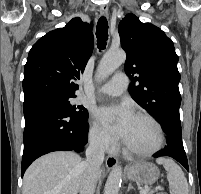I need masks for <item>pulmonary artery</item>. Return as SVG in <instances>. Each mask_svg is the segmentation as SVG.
I'll use <instances>...</instances> for the list:
<instances>
[{
  "instance_id": "pulmonary-artery-1",
  "label": "pulmonary artery",
  "mask_w": 201,
  "mask_h": 194,
  "mask_svg": "<svg viewBox=\"0 0 201 194\" xmlns=\"http://www.w3.org/2000/svg\"><path fill=\"white\" fill-rule=\"evenodd\" d=\"M127 85V76L124 73H118L112 80L102 85L98 92L107 96H119L126 90Z\"/></svg>"
}]
</instances>
